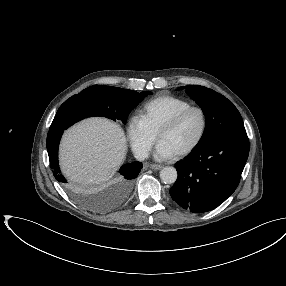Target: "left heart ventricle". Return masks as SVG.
I'll list each match as a JSON object with an SVG mask.
<instances>
[{
    "label": "left heart ventricle",
    "instance_id": "b2bd125f",
    "mask_svg": "<svg viewBox=\"0 0 286 286\" xmlns=\"http://www.w3.org/2000/svg\"><path fill=\"white\" fill-rule=\"evenodd\" d=\"M202 119L197 111L189 113L177 126L164 132L160 141L164 142L175 153L191 145L197 138Z\"/></svg>",
    "mask_w": 286,
    "mask_h": 286
}]
</instances>
